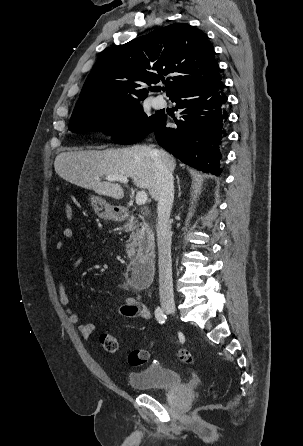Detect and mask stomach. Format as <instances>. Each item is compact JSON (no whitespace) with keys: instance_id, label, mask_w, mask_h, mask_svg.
<instances>
[{"instance_id":"0dacf381","label":"stomach","mask_w":303,"mask_h":446,"mask_svg":"<svg viewBox=\"0 0 303 446\" xmlns=\"http://www.w3.org/2000/svg\"><path fill=\"white\" fill-rule=\"evenodd\" d=\"M89 200L91 201V205L95 211V213L103 219H115L117 217L118 212L115 211V208L107 203L103 198L89 195Z\"/></svg>"}]
</instances>
